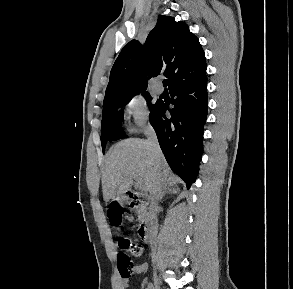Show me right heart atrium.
Masks as SVG:
<instances>
[{"label": "right heart atrium", "instance_id": "obj_1", "mask_svg": "<svg viewBox=\"0 0 293 289\" xmlns=\"http://www.w3.org/2000/svg\"><path fill=\"white\" fill-rule=\"evenodd\" d=\"M125 111L131 120L130 128L134 132H139L149 126V108L141 95L130 97L125 104Z\"/></svg>", "mask_w": 293, "mask_h": 289}]
</instances>
